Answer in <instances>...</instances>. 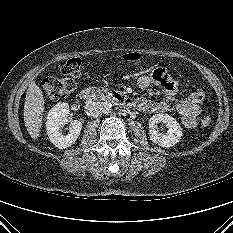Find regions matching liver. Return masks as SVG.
I'll return each instance as SVG.
<instances>
[{
  "mask_svg": "<svg viewBox=\"0 0 233 233\" xmlns=\"http://www.w3.org/2000/svg\"><path fill=\"white\" fill-rule=\"evenodd\" d=\"M44 112V98L39 86L32 82L27 90L24 104V122L32 139L40 137Z\"/></svg>",
  "mask_w": 233,
  "mask_h": 233,
  "instance_id": "obj_1",
  "label": "liver"
}]
</instances>
